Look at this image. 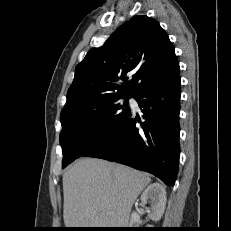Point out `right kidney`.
Masks as SVG:
<instances>
[{"label":"right kidney","mask_w":231,"mask_h":231,"mask_svg":"<svg viewBox=\"0 0 231 231\" xmlns=\"http://www.w3.org/2000/svg\"><path fill=\"white\" fill-rule=\"evenodd\" d=\"M166 190L164 186L159 183H153L149 185L141 195V202L145 205L150 203L148 208V217L157 222L161 219L165 206H166ZM140 224V215L137 212H133L130 219V228H137Z\"/></svg>","instance_id":"1"}]
</instances>
